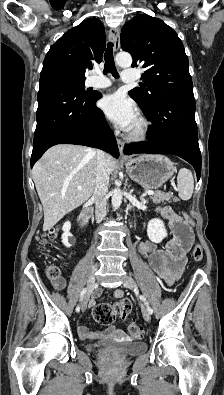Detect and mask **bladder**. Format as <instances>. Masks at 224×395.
<instances>
[{"mask_svg": "<svg viewBox=\"0 0 224 395\" xmlns=\"http://www.w3.org/2000/svg\"><path fill=\"white\" fill-rule=\"evenodd\" d=\"M99 344H90L88 345V349L90 351H94L98 349ZM146 350L145 343L142 342H129L122 348V352L127 355H135L142 353Z\"/></svg>", "mask_w": 224, "mask_h": 395, "instance_id": "1", "label": "bladder"}]
</instances>
